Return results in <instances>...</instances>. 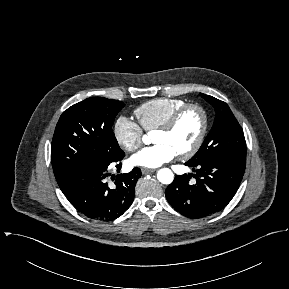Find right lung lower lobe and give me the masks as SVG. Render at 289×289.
<instances>
[{
	"instance_id": "98d812e1",
	"label": "right lung lower lobe",
	"mask_w": 289,
	"mask_h": 289,
	"mask_svg": "<svg viewBox=\"0 0 289 289\" xmlns=\"http://www.w3.org/2000/svg\"><path fill=\"white\" fill-rule=\"evenodd\" d=\"M122 152L113 161L96 167H83L73 171L58 183L68 201L83 215L91 219L112 221L121 216L132 204L135 184L141 176L139 168L123 175L111 176L108 167L123 159ZM121 168V164L116 165Z\"/></svg>"
}]
</instances>
